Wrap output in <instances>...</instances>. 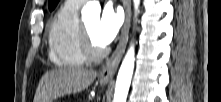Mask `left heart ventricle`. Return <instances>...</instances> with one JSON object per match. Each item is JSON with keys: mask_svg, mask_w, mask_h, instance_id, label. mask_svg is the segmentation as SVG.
Instances as JSON below:
<instances>
[{"mask_svg": "<svg viewBox=\"0 0 221 102\" xmlns=\"http://www.w3.org/2000/svg\"><path fill=\"white\" fill-rule=\"evenodd\" d=\"M97 24H98V19L97 18H94V19H91L87 22H85V26L93 40V42L96 44V45H100L96 38H95V30H96V27H97Z\"/></svg>", "mask_w": 221, "mask_h": 102, "instance_id": "obj_1", "label": "left heart ventricle"}]
</instances>
